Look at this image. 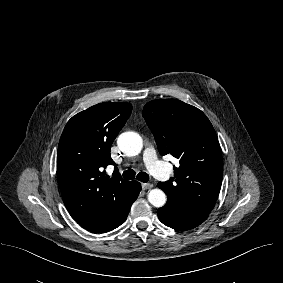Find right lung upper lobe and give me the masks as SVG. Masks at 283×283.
Masks as SVG:
<instances>
[{"mask_svg": "<svg viewBox=\"0 0 283 283\" xmlns=\"http://www.w3.org/2000/svg\"><path fill=\"white\" fill-rule=\"evenodd\" d=\"M132 111L130 103L106 102L73 116L58 146V180L71 216L87 230L111 222L128 203L134 181H125L115 167L110 178L103 168L115 165L110 149Z\"/></svg>", "mask_w": 283, "mask_h": 283, "instance_id": "obj_1", "label": "right lung upper lobe"}]
</instances>
